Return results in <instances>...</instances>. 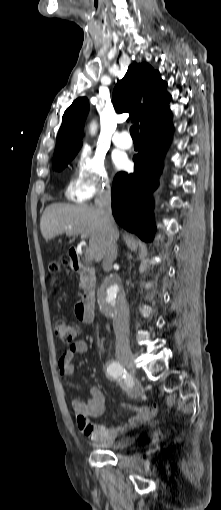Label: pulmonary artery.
<instances>
[{"label": "pulmonary artery", "instance_id": "obj_1", "mask_svg": "<svg viewBox=\"0 0 221 510\" xmlns=\"http://www.w3.org/2000/svg\"><path fill=\"white\" fill-rule=\"evenodd\" d=\"M114 144L123 149H129L132 146V141L129 133L124 130H117L113 136Z\"/></svg>", "mask_w": 221, "mask_h": 510}]
</instances>
